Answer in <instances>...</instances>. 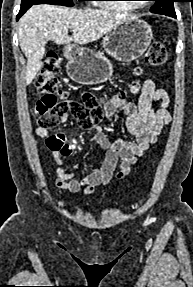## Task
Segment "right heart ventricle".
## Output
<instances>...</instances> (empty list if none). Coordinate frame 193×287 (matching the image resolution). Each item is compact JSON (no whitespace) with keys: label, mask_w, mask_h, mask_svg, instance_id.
Returning a JSON list of instances; mask_svg holds the SVG:
<instances>
[{"label":"right heart ventricle","mask_w":193,"mask_h":287,"mask_svg":"<svg viewBox=\"0 0 193 287\" xmlns=\"http://www.w3.org/2000/svg\"><path fill=\"white\" fill-rule=\"evenodd\" d=\"M104 2L106 3H103L101 7L107 10H112V11H117V12H130L133 9L129 5L118 3L119 1L117 0H105Z\"/></svg>","instance_id":"1"}]
</instances>
